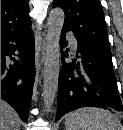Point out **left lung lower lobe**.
Instances as JSON below:
<instances>
[{"label":"left lung lower lobe","mask_w":123,"mask_h":130,"mask_svg":"<svg viewBox=\"0 0 123 130\" xmlns=\"http://www.w3.org/2000/svg\"><path fill=\"white\" fill-rule=\"evenodd\" d=\"M65 32L62 29L60 38L62 61L68 56L63 51ZM76 57L78 59H74L73 63L64 62L59 73L55 121L70 111L89 106L123 112L112 69V55L78 43Z\"/></svg>","instance_id":"left-lung-lower-lobe-1"}]
</instances>
